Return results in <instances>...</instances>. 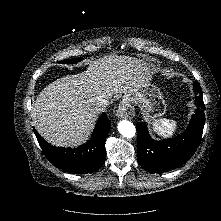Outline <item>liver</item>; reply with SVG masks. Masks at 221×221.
I'll use <instances>...</instances> for the list:
<instances>
[{
  "label": "liver",
  "instance_id": "obj_1",
  "mask_svg": "<svg viewBox=\"0 0 221 221\" xmlns=\"http://www.w3.org/2000/svg\"><path fill=\"white\" fill-rule=\"evenodd\" d=\"M147 67L128 56L108 55L91 61L86 71L64 76L37 96L31 116L38 133L56 146H77L86 141L102 112L101 96L131 94L144 81Z\"/></svg>",
  "mask_w": 221,
  "mask_h": 221
}]
</instances>
